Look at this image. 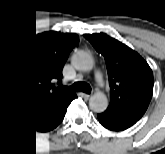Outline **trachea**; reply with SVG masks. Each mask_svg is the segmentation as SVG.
I'll return each mask as SVG.
<instances>
[{"instance_id": "trachea-1", "label": "trachea", "mask_w": 165, "mask_h": 154, "mask_svg": "<svg viewBox=\"0 0 165 154\" xmlns=\"http://www.w3.org/2000/svg\"><path fill=\"white\" fill-rule=\"evenodd\" d=\"M71 90L74 91H83L85 93H90V87L84 82H76L71 87Z\"/></svg>"}]
</instances>
